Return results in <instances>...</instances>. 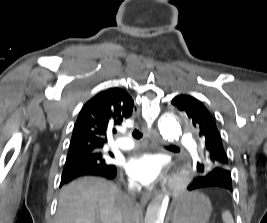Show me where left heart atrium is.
<instances>
[{
  "mask_svg": "<svg viewBox=\"0 0 267 223\" xmlns=\"http://www.w3.org/2000/svg\"><path fill=\"white\" fill-rule=\"evenodd\" d=\"M163 160L154 154L134 155L125 164L128 175L143 185H152L162 176Z\"/></svg>",
  "mask_w": 267,
  "mask_h": 223,
  "instance_id": "obj_1",
  "label": "left heart atrium"
}]
</instances>
